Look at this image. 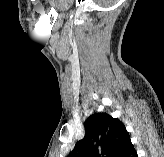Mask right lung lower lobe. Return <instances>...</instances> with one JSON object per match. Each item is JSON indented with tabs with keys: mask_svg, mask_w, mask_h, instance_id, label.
Masks as SVG:
<instances>
[{
	"mask_svg": "<svg viewBox=\"0 0 164 157\" xmlns=\"http://www.w3.org/2000/svg\"><path fill=\"white\" fill-rule=\"evenodd\" d=\"M118 157H138L130 140L126 143Z\"/></svg>",
	"mask_w": 164,
	"mask_h": 157,
	"instance_id": "1",
	"label": "right lung lower lobe"
}]
</instances>
